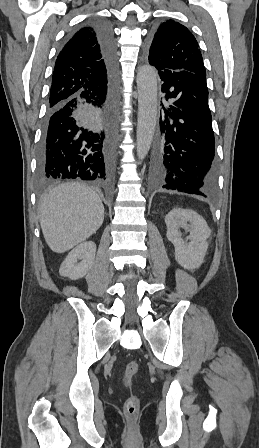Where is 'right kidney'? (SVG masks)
Wrapping results in <instances>:
<instances>
[{
  "label": "right kidney",
  "instance_id": "1",
  "mask_svg": "<svg viewBox=\"0 0 259 448\" xmlns=\"http://www.w3.org/2000/svg\"><path fill=\"white\" fill-rule=\"evenodd\" d=\"M95 254L96 244L94 242H82L74 250H71L66 260L61 264L60 276H65V278H70V280L84 278L94 264Z\"/></svg>",
  "mask_w": 259,
  "mask_h": 448
}]
</instances>
